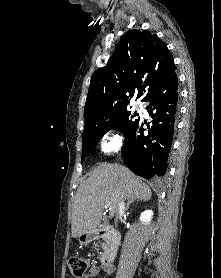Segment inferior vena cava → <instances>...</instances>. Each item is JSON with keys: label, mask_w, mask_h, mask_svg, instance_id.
<instances>
[{"label": "inferior vena cava", "mask_w": 221, "mask_h": 278, "mask_svg": "<svg viewBox=\"0 0 221 278\" xmlns=\"http://www.w3.org/2000/svg\"><path fill=\"white\" fill-rule=\"evenodd\" d=\"M124 209H125L124 201L121 200V201L119 202V204H118L117 209H116V221L119 219L120 213H121L122 211H124Z\"/></svg>", "instance_id": "602c4592"}]
</instances>
